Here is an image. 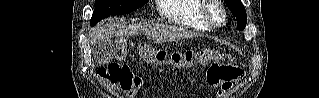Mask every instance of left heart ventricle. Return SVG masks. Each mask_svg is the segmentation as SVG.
Here are the masks:
<instances>
[{"label":"left heart ventricle","instance_id":"1","mask_svg":"<svg viewBox=\"0 0 319 98\" xmlns=\"http://www.w3.org/2000/svg\"><path fill=\"white\" fill-rule=\"evenodd\" d=\"M218 14H219V13H218L217 10H214V11H213V15H214V17L217 18V19H218Z\"/></svg>","mask_w":319,"mask_h":98}]
</instances>
